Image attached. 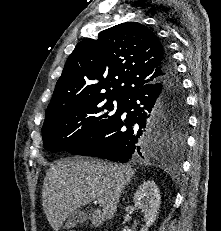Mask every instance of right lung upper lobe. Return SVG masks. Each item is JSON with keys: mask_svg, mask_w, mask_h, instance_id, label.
<instances>
[{"mask_svg": "<svg viewBox=\"0 0 221 231\" xmlns=\"http://www.w3.org/2000/svg\"><path fill=\"white\" fill-rule=\"evenodd\" d=\"M164 46L146 26L126 22L85 39L68 57L45 118L68 102L95 96L127 97L161 82Z\"/></svg>", "mask_w": 221, "mask_h": 231, "instance_id": "obj_1", "label": "right lung upper lobe"}]
</instances>
